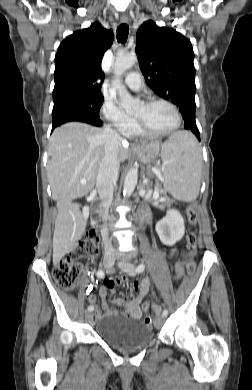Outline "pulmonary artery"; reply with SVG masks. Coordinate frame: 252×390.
Segmentation results:
<instances>
[{"mask_svg": "<svg viewBox=\"0 0 252 390\" xmlns=\"http://www.w3.org/2000/svg\"><path fill=\"white\" fill-rule=\"evenodd\" d=\"M125 84L132 90H139L142 86V78L141 75L137 72H131L129 73L125 79Z\"/></svg>", "mask_w": 252, "mask_h": 390, "instance_id": "1", "label": "pulmonary artery"}]
</instances>
